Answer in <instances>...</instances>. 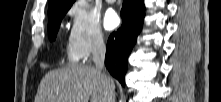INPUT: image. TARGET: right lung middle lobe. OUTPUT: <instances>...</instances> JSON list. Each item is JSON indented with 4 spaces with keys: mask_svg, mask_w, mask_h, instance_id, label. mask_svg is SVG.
Listing matches in <instances>:
<instances>
[{
    "mask_svg": "<svg viewBox=\"0 0 221 102\" xmlns=\"http://www.w3.org/2000/svg\"><path fill=\"white\" fill-rule=\"evenodd\" d=\"M70 9L66 8L55 13L48 22V36L50 41L55 40L60 23L66 12Z\"/></svg>",
    "mask_w": 221,
    "mask_h": 102,
    "instance_id": "right-lung-middle-lobe-1",
    "label": "right lung middle lobe"
}]
</instances>
